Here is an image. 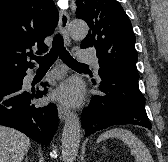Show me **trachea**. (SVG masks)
I'll list each match as a JSON object with an SVG mask.
<instances>
[{"label":"trachea","instance_id":"obj_1","mask_svg":"<svg viewBox=\"0 0 168 162\" xmlns=\"http://www.w3.org/2000/svg\"><path fill=\"white\" fill-rule=\"evenodd\" d=\"M59 58L71 68L88 67V65L76 61L66 50L63 43V38L60 34L55 36L52 42V48L45 56H32L40 67H50Z\"/></svg>","mask_w":168,"mask_h":162}]
</instances>
